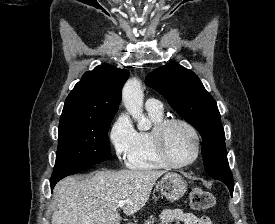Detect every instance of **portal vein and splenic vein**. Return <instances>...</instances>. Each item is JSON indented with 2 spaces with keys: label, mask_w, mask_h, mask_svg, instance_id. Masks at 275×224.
I'll return each mask as SVG.
<instances>
[{
  "label": "portal vein and splenic vein",
  "mask_w": 275,
  "mask_h": 224,
  "mask_svg": "<svg viewBox=\"0 0 275 224\" xmlns=\"http://www.w3.org/2000/svg\"><path fill=\"white\" fill-rule=\"evenodd\" d=\"M125 203H126V201L120 200L117 205H118V207H123Z\"/></svg>",
  "instance_id": "1"
}]
</instances>
